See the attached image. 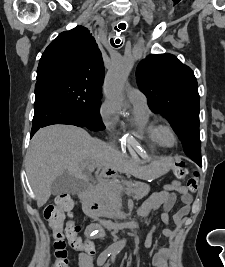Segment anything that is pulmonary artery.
Segmentation results:
<instances>
[{
    "instance_id": "pulmonary-artery-1",
    "label": "pulmonary artery",
    "mask_w": 225,
    "mask_h": 267,
    "mask_svg": "<svg viewBox=\"0 0 225 267\" xmlns=\"http://www.w3.org/2000/svg\"><path fill=\"white\" fill-rule=\"evenodd\" d=\"M128 96L130 99H135V100L145 99V96L143 95V93L139 91L137 88H129Z\"/></svg>"
}]
</instances>
